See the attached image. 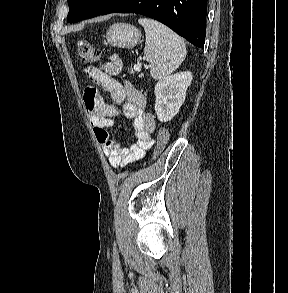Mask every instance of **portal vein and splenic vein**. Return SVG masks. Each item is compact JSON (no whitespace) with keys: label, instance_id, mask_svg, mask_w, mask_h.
I'll list each match as a JSON object with an SVG mask.
<instances>
[{"label":"portal vein and splenic vein","instance_id":"obj_1","mask_svg":"<svg viewBox=\"0 0 288 293\" xmlns=\"http://www.w3.org/2000/svg\"><path fill=\"white\" fill-rule=\"evenodd\" d=\"M134 70H136V71H140V66H138V65H134Z\"/></svg>","mask_w":288,"mask_h":293}]
</instances>
